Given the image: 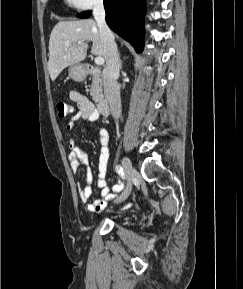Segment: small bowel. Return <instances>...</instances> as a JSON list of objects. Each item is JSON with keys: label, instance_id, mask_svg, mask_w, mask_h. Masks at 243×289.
<instances>
[{"label": "small bowel", "instance_id": "small-bowel-1", "mask_svg": "<svg viewBox=\"0 0 243 289\" xmlns=\"http://www.w3.org/2000/svg\"><path fill=\"white\" fill-rule=\"evenodd\" d=\"M70 99L77 104L78 112L71 118L67 123V130L72 131L76 128V123L80 120L88 121L89 123H94L99 119V114L95 109L92 102L83 94L78 91L70 92ZM98 139L100 143L99 161H98V179L97 186L100 189V198L89 202L92 189L91 183L93 180V172L88 166V159L85 153L75 144V140L71 139L69 142L70 152L69 160L71 169L76 173L81 167H85V187L78 185L79 196L83 203H87L86 209L90 213H100L106 206V203L111 199L115 193H118L122 189V184L118 183L113 186L111 193L106 182V173L109 162V134L105 128H98Z\"/></svg>", "mask_w": 243, "mask_h": 289}]
</instances>
